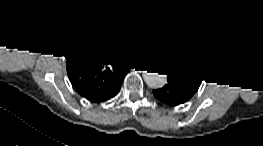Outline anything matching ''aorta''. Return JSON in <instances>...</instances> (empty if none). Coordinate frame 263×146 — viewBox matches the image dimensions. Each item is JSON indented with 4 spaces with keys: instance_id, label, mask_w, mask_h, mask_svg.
<instances>
[{
    "instance_id": "obj_1",
    "label": "aorta",
    "mask_w": 263,
    "mask_h": 146,
    "mask_svg": "<svg viewBox=\"0 0 263 146\" xmlns=\"http://www.w3.org/2000/svg\"><path fill=\"white\" fill-rule=\"evenodd\" d=\"M142 77L145 83L148 86L153 87V88L161 87L166 82L164 75H161L155 72L142 71Z\"/></svg>"
}]
</instances>
